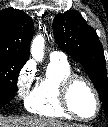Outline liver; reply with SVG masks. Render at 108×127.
<instances>
[{
	"instance_id": "1",
	"label": "liver",
	"mask_w": 108,
	"mask_h": 127,
	"mask_svg": "<svg viewBox=\"0 0 108 127\" xmlns=\"http://www.w3.org/2000/svg\"><path fill=\"white\" fill-rule=\"evenodd\" d=\"M0 127H85L79 124H67L65 122L33 116H16L10 118L0 117Z\"/></svg>"
}]
</instances>
